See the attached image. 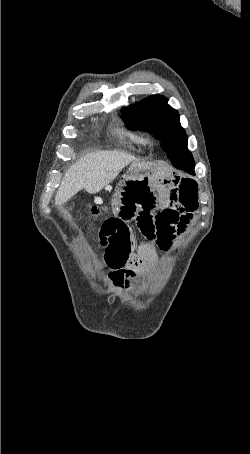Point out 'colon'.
Returning <instances> with one entry per match:
<instances>
[{
    "instance_id": "5ec220e1",
    "label": "colon",
    "mask_w": 250,
    "mask_h": 454,
    "mask_svg": "<svg viewBox=\"0 0 250 454\" xmlns=\"http://www.w3.org/2000/svg\"><path fill=\"white\" fill-rule=\"evenodd\" d=\"M99 212H100V209L98 207L94 206V207L91 208V213L93 215H97V214H99Z\"/></svg>"
}]
</instances>
